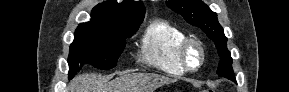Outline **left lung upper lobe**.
<instances>
[{
	"label": "left lung upper lobe",
	"mask_w": 289,
	"mask_h": 92,
	"mask_svg": "<svg viewBox=\"0 0 289 92\" xmlns=\"http://www.w3.org/2000/svg\"><path fill=\"white\" fill-rule=\"evenodd\" d=\"M166 4L188 23L201 28L207 34L214 42L220 56L218 75L235 80L232 58L226 47L227 38L218 22L217 14L211 11L202 0H169Z\"/></svg>",
	"instance_id": "obj_1"
}]
</instances>
